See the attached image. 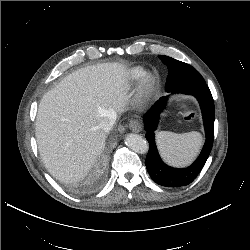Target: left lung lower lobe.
Segmentation results:
<instances>
[{
	"instance_id": "0a47b994",
	"label": "left lung lower lobe",
	"mask_w": 250,
	"mask_h": 250,
	"mask_svg": "<svg viewBox=\"0 0 250 250\" xmlns=\"http://www.w3.org/2000/svg\"><path fill=\"white\" fill-rule=\"evenodd\" d=\"M168 93H184L193 95L199 101L206 141L204 147L195 160L187 168L177 169L166 165L160 158L156 143L154 131L157 128L160 113L165 109L168 96L161 97L155 104L144 114L143 121L145 124V137L149 142V151L145 160L146 168L153 181L165 187H180L190 184L203 168L213 146L214 138V118L215 107L213 97L208 86L203 83H194L179 87Z\"/></svg>"
}]
</instances>
